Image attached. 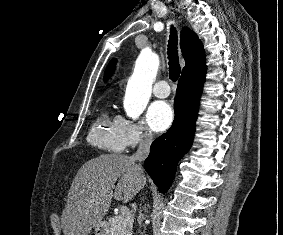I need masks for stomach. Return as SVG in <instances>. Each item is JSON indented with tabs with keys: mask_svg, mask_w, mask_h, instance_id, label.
<instances>
[{
	"mask_svg": "<svg viewBox=\"0 0 283 235\" xmlns=\"http://www.w3.org/2000/svg\"><path fill=\"white\" fill-rule=\"evenodd\" d=\"M111 234V227L110 225L102 221L94 228V235H110Z\"/></svg>",
	"mask_w": 283,
	"mask_h": 235,
	"instance_id": "stomach-1",
	"label": "stomach"
}]
</instances>
